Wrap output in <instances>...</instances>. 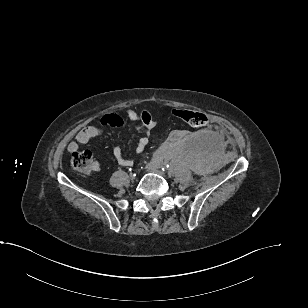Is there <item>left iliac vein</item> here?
Segmentation results:
<instances>
[{
	"label": "left iliac vein",
	"instance_id": "1",
	"mask_svg": "<svg viewBox=\"0 0 308 308\" xmlns=\"http://www.w3.org/2000/svg\"><path fill=\"white\" fill-rule=\"evenodd\" d=\"M147 170L155 174H158L160 176H163V177L165 176V173L160 169L159 165L156 163H149L147 165Z\"/></svg>",
	"mask_w": 308,
	"mask_h": 308
}]
</instances>
